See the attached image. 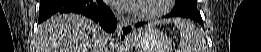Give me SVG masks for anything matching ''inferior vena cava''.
<instances>
[{
	"mask_svg": "<svg viewBox=\"0 0 261 52\" xmlns=\"http://www.w3.org/2000/svg\"><path fill=\"white\" fill-rule=\"evenodd\" d=\"M121 14H122V10L121 9H117V11L115 12V16L117 18H120L121 17ZM105 52H106V48H105Z\"/></svg>",
	"mask_w": 261,
	"mask_h": 52,
	"instance_id": "1",
	"label": "inferior vena cava"
}]
</instances>
